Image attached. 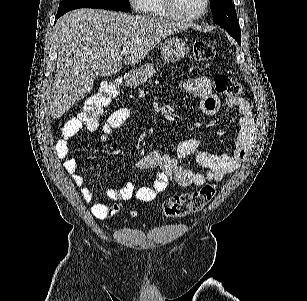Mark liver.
Wrapping results in <instances>:
<instances>
[{"label": "liver", "instance_id": "1", "mask_svg": "<svg viewBox=\"0 0 307 301\" xmlns=\"http://www.w3.org/2000/svg\"><path fill=\"white\" fill-rule=\"evenodd\" d=\"M188 26L100 8H77L60 16L54 26L58 56L50 96L52 118H59L91 92L98 74L112 76L124 62L138 64L162 38ZM123 46H129L126 58L121 54Z\"/></svg>", "mask_w": 307, "mask_h": 301}]
</instances>
